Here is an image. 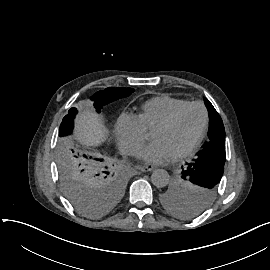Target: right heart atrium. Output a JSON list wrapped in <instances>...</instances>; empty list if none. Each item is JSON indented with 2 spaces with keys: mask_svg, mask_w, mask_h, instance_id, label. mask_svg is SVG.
Instances as JSON below:
<instances>
[{
  "mask_svg": "<svg viewBox=\"0 0 270 270\" xmlns=\"http://www.w3.org/2000/svg\"><path fill=\"white\" fill-rule=\"evenodd\" d=\"M114 135L122 154L136 155L145 142V131L134 115L122 114L115 126Z\"/></svg>",
  "mask_w": 270,
  "mask_h": 270,
  "instance_id": "d8ad5b80",
  "label": "right heart atrium"
}]
</instances>
